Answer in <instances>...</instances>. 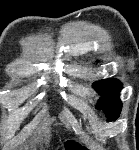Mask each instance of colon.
<instances>
[{"instance_id":"5ec220e1","label":"colon","mask_w":139,"mask_h":150,"mask_svg":"<svg viewBox=\"0 0 139 150\" xmlns=\"http://www.w3.org/2000/svg\"><path fill=\"white\" fill-rule=\"evenodd\" d=\"M66 150H86L84 148H78V146L74 143L68 142L65 145Z\"/></svg>"}]
</instances>
